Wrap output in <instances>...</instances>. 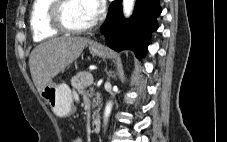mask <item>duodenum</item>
<instances>
[{
    "label": "duodenum",
    "mask_w": 227,
    "mask_h": 142,
    "mask_svg": "<svg viewBox=\"0 0 227 142\" xmlns=\"http://www.w3.org/2000/svg\"><path fill=\"white\" fill-rule=\"evenodd\" d=\"M100 127H101V120L99 117H95L92 120V124H91L92 131L94 133H98L100 131Z\"/></svg>",
    "instance_id": "1"
}]
</instances>
